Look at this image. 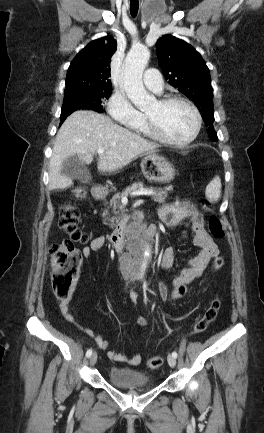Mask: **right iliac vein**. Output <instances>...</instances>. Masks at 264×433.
<instances>
[{
    "mask_svg": "<svg viewBox=\"0 0 264 433\" xmlns=\"http://www.w3.org/2000/svg\"><path fill=\"white\" fill-rule=\"evenodd\" d=\"M96 362H97V353L94 352V353L90 356L89 363H90L91 366H94Z\"/></svg>",
    "mask_w": 264,
    "mask_h": 433,
    "instance_id": "right-iliac-vein-1",
    "label": "right iliac vein"
}]
</instances>
